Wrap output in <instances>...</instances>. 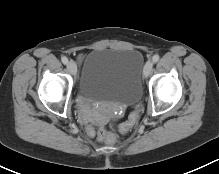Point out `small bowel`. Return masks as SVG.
Segmentation results:
<instances>
[{"label": "small bowel", "instance_id": "1", "mask_svg": "<svg viewBox=\"0 0 219 174\" xmlns=\"http://www.w3.org/2000/svg\"><path fill=\"white\" fill-rule=\"evenodd\" d=\"M84 116L85 118L93 117L91 110L87 108L86 106L84 107Z\"/></svg>", "mask_w": 219, "mask_h": 174}]
</instances>
